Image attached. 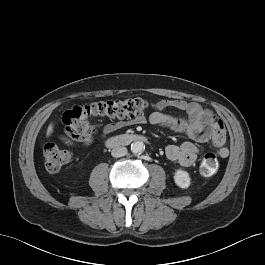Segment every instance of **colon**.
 Here are the masks:
<instances>
[{
    "label": "colon",
    "instance_id": "obj_1",
    "mask_svg": "<svg viewBox=\"0 0 265 265\" xmlns=\"http://www.w3.org/2000/svg\"><path fill=\"white\" fill-rule=\"evenodd\" d=\"M150 103L142 98H128L106 102L78 105L65 111L62 116L64 132L62 139L68 143L83 144L95 132L91 123L94 116L112 120L140 118L149 109ZM45 166L49 172H57L71 160V153L55 144L44 147ZM219 169V160L214 153H207L200 162V172L212 176Z\"/></svg>",
    "mask_w": 265,
    "mask_h": 265
}]
</instances>
